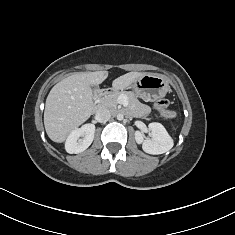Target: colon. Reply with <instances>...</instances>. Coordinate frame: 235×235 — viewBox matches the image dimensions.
<instances>
[{
	"label": "colon",
	"instance_id": "colon-1",
	"mask_svg": "<svg viewBox=\"0 0 235 235\" xmlns=\"http://www.w3.org/2000/svg\"><path fill=\"white\" fill-rule=\"evenodd\" d=\"M170 102L167 99H160L156 102V110L164 117L172 119L175 114L169 110Z\"/></svg>",
	"mask_w": 235,
	"mask_h": 235
}]
</instances>
